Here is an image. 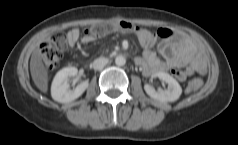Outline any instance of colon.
Masks as SVG:
<instances>
[{
  "instance_id": "5ec220e1",
  "label": "colon",
  "mask_w": 238,
  "mask_h": 145,
  "mask_svg": "<svg viewBox=\"0 0 238 145\" xmlns=\"http://www.w3.org/2000/svg\"><path fill=\"white\" fill-rule=\"evenodd\" d=\"M141 28L126 22H110L105 24H97L87 28L84 31L86 39H94L103 37L113 32H125L137 34ZM67 49V38L62 33H55L40 46V58L47 70H53L59 64L64 52ZM202 86L200 79H193L187 86V91L198 90Z\"/></svg>"
}]
</instances>
